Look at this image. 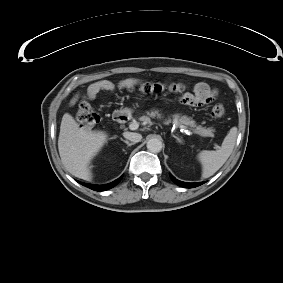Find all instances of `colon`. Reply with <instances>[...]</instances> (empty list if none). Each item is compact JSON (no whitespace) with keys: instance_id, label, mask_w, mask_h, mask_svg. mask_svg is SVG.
I'll list each match as a JSON object with an SVG mask.
<instances>
[{"instance_id":"1","label":"colon","mask_w":283,"mask_h":283,"mask_svg":"<svg viewBox=\"0 0 283 283\" xmlns=\"http://www.w3.org/2000/svg\"><path fill=\"white\" fill-rule=\"evenodd\" d=\"M224 115L225 108L221 104H216L212 107L211 116L214 119H220ZM78 122L82 133H91L99 123V116L92 111L88 103L81 102L78 109Z\"/></svg>"}]
</instances>
